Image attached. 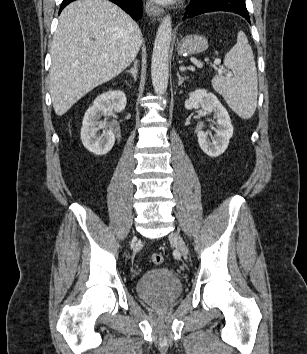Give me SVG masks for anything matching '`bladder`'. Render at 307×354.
I'll return each mask as SVG.
<instances>
[{"mask_svg": "<svg viewBox=\"0 0 307 354\" xmlns=\"http://www.w3.org/2000/svg\"><path fill=\"white\" fill-rule=\"evenodd\" d=\"M135 288L143 301L154 306L172 304L183 291L181 280L168 268L147 270L137 279Z\"/></svg>", "mask_w": 307, "mask_h": 354, "instance_id": "obj_1", "label": "bladder"}]
</instances>
